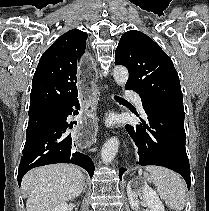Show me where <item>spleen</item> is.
<instances>
[{"instance_id":"spleen-1","label":"spleen","mask_w":209,"mask_h":211,"mask_svg":"<svg viewBox=\"0 0 209 211\" xmlns=\"http://www.w3.org/2000/svg\"><path fill=\"white\" fill-rule=\"evenodd\" d=\"M157 192L165 204L172 210L182 211L185 205L186 186L175 172L160 166L147 169Z\"/></svg>"}]
</instances>
